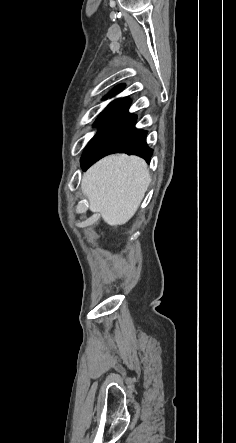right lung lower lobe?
Segmentation results:
<instances>
[{
	"instance_id": "obj_1",
	"label": "right lung lower lobe",
	"mask_w": 236,
	"mask_h": 443,
	"mask_svg": "<svg viewBox=\"0 0 236 443\" xmlns=\"http://www.w3.org/2000/svg\"><path fill=\"white\" fill-rule=\"evenodd\" d=\"M129 106L126 98L114 100L97 118L94 126L100 129L81 157L84 170L103 156L117 152L150 161L153 151L146 145L147 131L135 128L137 116L128 112Z\"/></svg>"
}]
</instances>
